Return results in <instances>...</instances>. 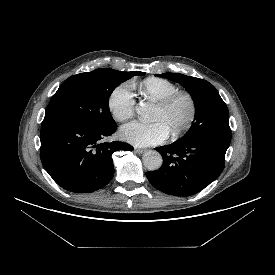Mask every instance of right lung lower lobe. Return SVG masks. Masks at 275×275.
<instances>
[{"instance_id": "obj_1", "label": "right lung lower lobe", "mask_w": 275, "mask_h": 275, "mask_svg": "<svg viewBox=\"0 0 275 275\" xmlns=\"http://www.w3.org/2000/svg\"><path fill=\"white\" fill-rule=\"evenodd\" d=\"M116 129V125L97 126L68 119L43 121L42 164L52 179L67 191H96L113 178L112 154L133 150L124 142H102Z\"/></svg>"}]
</instances>
